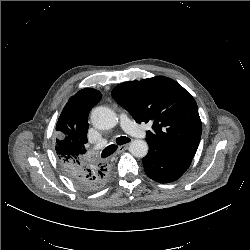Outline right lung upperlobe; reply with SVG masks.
Instances as JSON below:
<instances>
[{
  "label": "right lung upper lobe",
  "mask_w": 250,
  "mask_h": 250,
  "mask_svg": "<svg viewBox=\"0 0 250 250\" xmlns=\"http://www.w3.org/2000/svg\"><path fill=\"white\" fill-rule=\"evenodd\" d=\"M101 93L92 88H84L72 96L63 108L56 125V153L67 170L81 167L99 169L102 163L84 159L87 143L88 113L100 101Z\"/></svg>",
  "instance_id": "1"
}]
</instances>
